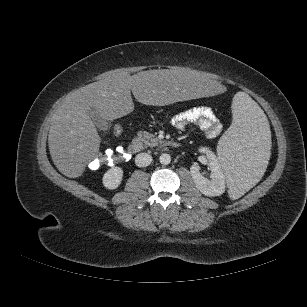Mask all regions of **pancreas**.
Segmentation results:
<instances>
[{"instance_id":"1","label":"pancreas","mask_w":307,"mask_h":307,"mask_svg":"<svg viewBox=\"0 0 307 307\" xmlns=\"http://www.w3.org/2000/svg\"><path fill=\"white\" fill-rule=\"evenodd\" d=\"M160 143V139L147 131L139 132L137 134V137L133 140V144H138L142 148L155 147L158 146Z\"/></svg>"}]
</instances>
